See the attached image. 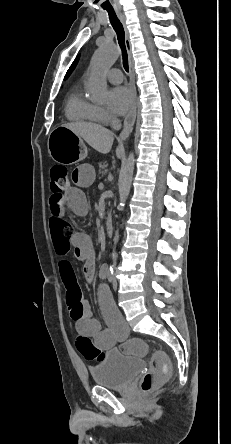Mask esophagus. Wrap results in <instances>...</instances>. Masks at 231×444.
Masks as SVG:
<instances>
[{"mask_svg":"<svg viewBox=\"0 0 231 444\" xmlns=\"http://www.w3.org/2000/svg\"><path fill=\"white\" fill-rule=\"evenodd\" d=\"M118 16H119V18L124 26V29H125L126 46H127L128 59H129L130 88H131V92L133 95V103H132L131 110L129 111V113L126 115V117L124 119L123 129L118 137V140L122 141V140H126L129 137L131 130L134 126L135 120H136L137 92H136V87H135L134 71H133L134 63H133L132 49H131V43L129 40L128 29L126 26V21H125L124 15L121 12H118Z\"/></svg>","mask_w":231,"mask_h":444,"instance_id":"1","label":"esophagus"}]
</instances>
